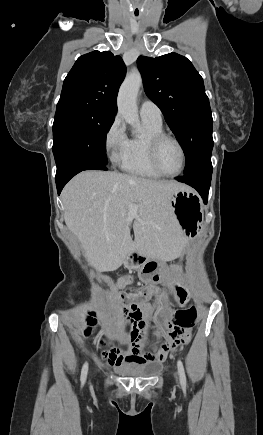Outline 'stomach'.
<instances>
[{
	"instance_id": "1",
	"label": "stomach",
	"mask_w": 263,
	"mask_h": 435,
	"mask_svg": "<svg viewBox=\"0 0 263 435\" xmlns=\"http://www.w3.org/2000/svg\"><path fill=\"white\" fill-rule=\"evenodd\" d=\"M171 206L178 224H176V233H187L188 237H193L194 233H203L205 217L200 216V199L191 189L176 191L171 196ZM125 266L129 269H137L140 278L145 282H152V286H157V281L167 282V286L162 287L163 293H169L170 287L175 286V282L180 280V272L183 270L181 265L176 267L173 272V280H169L168 273L162 270V261L145 256L139 252L131 253L125 261ZM173 301H169L167 307L169 310H178L180 305L187 302L181 286H175L172 292Z\"/></svg>"
}]
</instances>
